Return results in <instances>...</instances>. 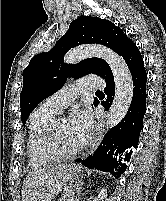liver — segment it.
I'll return each instance as SVG.
<instances>
[{
	"mask_svg": "<svg viewBox=\"0 0 166 201\" xmlns=\"http://www.w3.org/2000/svg\"><path fill=\"white\" fill-rule=\"evenodd\" d=\"M62 166L65 165L43 168L30 172L23 182L22 201H34L37 197L39 188Z\"/></svg>",
	"mask_w": 166,
	"mask_h": 201,
	"instance_id": "obj_1",
	"label": "liver"
}]
</instances>
